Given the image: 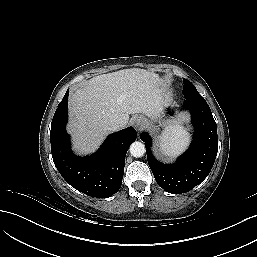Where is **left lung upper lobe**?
Instances as JSON below:
<instances>
[{
    "label": "left lung upper lobe",
    "instance_id": "1",
    "mask_svg": "<svg viewBox=\"0 0 257 257\" xmlns=\"http://www.w3.org/2000/svg\"><path fill=\"white\" fill-rule=\"evenodd\" d=\"M183 82V94L186 100L205 101V99L198 93L197 89L190 81L183 79Z\"/></svg>",
    "mask_w": 257,
    "mask_h": 257
}]
</instances>
